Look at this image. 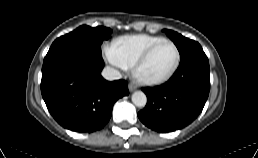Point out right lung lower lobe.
Instances as JSON below:
<instances>
[{"mask_svg":"<svg viewBox=\"0 0 258 158\" xmlns=\"http://www.w3.org/2000/svg\"><path fill=\"white\" fill-rule=\"evenodd\" d=\"M103 67L102 55L86 50L66 49L45 56L41 93L60 125L90 133L109 121L113 104L129 91L124 80L106 81L100 75Z\"/></svg>","mask_w":258,"mask_h":158,"instance_id":"1","label":"right lung lower lobe"}]
</instances>
